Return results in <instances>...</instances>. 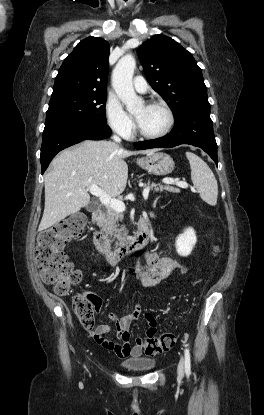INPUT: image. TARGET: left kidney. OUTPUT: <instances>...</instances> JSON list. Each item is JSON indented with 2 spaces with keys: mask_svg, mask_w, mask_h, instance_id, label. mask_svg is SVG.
I'll return each instance as SVG.
<instances>
[{
  "mask_svg": "<svg viewBox=\"0 0 264 415\" xmlns=\"http://www.w3.org/2000/svg\"><path fill=\"white\" fill-rule=\"evenodd\" d=\"M196 242L197 237L194 229L190 227L186 228L176 239L175 246L177 253L184 257L190 255Z\"/></svg>",
  "mask_w": 264,
  "mask_h": 415,
  "instance_id": "1",
  "label": "left kidney"
}]
</instances>
